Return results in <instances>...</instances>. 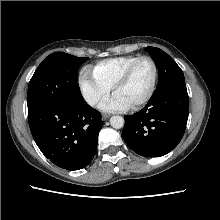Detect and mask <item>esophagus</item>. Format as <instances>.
I'll return each mask as SVG.
<instances>
[{
    "label": "esophagus",
    "instance_id": "esophagus-1",
    "mask_svg": "<svg viewBox=\"0 0 220 220\" xmlns=\"http://www.w3.org/2000/svg\"><path fill=\"white\" fill-rule=\"evenodd\" d=\"M109 117H110L109 114H103V115H102V119H103V120H107Z\"/></svg>",
    "mask_w": 220,
    "mask_h": 220
}]
</instances>
